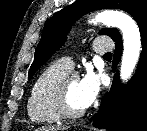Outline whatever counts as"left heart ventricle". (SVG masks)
I'll list each match as a JSON object with an SVG mask.
<instances>
[{"label":"left heart ventricle","instance_id":"obj_1","mask_svg":"<svg viewBox=\"0 0 147 131\" xmlns=\"http://www.w3.org/2000/svg\"><path fill=\"white\" fill-rule=\"evenodd\" d=\"M67 99L69 106L72 109L80 110L83 109V105L80 100V94H79V78L72 80L68 84L67 88Z\"/></svg>","mask_w":147,"mask_h":131}]
</instances>
